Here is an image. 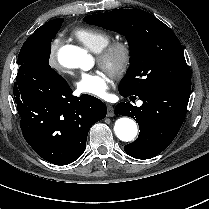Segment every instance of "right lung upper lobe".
<instances>
[{"mask_svg": "<svg viewBox=\"0 0 209 209\" xmlns=\"http://www.w3.org/2000/svg\"><path fill=\"white\" fill-rule=\"evenodd\" d=\"M49 22H50V21H49ZM49 22H47V23H49ZM47 23H46V24H47ZM46 24H44V25H46ZM44 25H42V26H41V27H39V28H42Z\"/></svg>", "mask_w": 209, "mask_h": 209, "instance_id": "cb5924a9", "label": "right lung upper lobe"}]
</instances>
